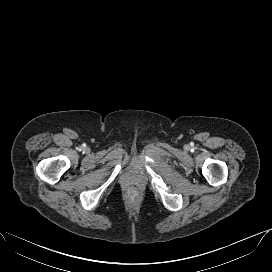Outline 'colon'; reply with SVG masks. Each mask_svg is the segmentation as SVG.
<instances>
[{"instance_id":"5ec220e1","label":"colon","mask_w":272,"mask_h":272,"mask_svg":"<svg viewBox=\"0 0 272 272\" xmlns=\"http://www.w3.org/2000/svg\"><path fill=\"white\" fill-rule=\"evenodd\" d=\"M127 198L130 201H136L139 198V192L137 190H135V189H131L127 193Z\"/></svg>"}]
</instances>
